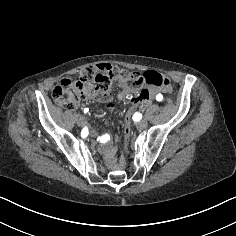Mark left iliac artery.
<instances>
[{
    "label": "left iliac artery",
    "mask_w": 236,
    "mask_h": 236,
    "mask_svg": "<svg viewBox=\"0 0 236 236\" xmlns=\"http://www.w3.org/2000/svg\"><path fill=\"white\" fill-rule=\"evenodd\" d=\"M162 99H163V95L162 94H158V95H156V100L157 101H162Z\"/></svg>",
    "instance_id": "44dca946"
}]
</instances>
